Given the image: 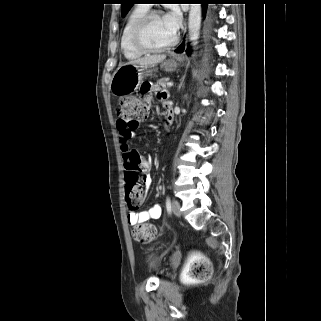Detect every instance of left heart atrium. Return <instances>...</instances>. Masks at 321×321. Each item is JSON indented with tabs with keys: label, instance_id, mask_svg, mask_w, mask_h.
<instances>
[{
	"label": "left heart atrium",
	"instance_id": "left-heart-atrium-1",
	"mask_svg": "<svg viewBox=\"0 0 321 321\" xmlns=\"http://www.w3.org/2000/svg\"><path fill=\"white\" fill-rule=\"evenodd\" d=\"M164 20L167 23V25L174 31L176 32L180 26L181 23V18H180V13L178 10L173 9L169 13H167L164 16Z\"/></svg>",
	"mask_w": 321,
	"mask_h": 321
}]
</instances>
